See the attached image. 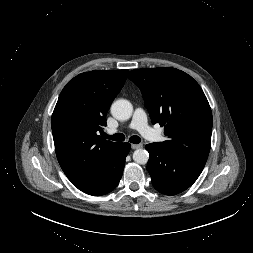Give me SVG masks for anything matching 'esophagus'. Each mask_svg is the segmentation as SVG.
<instances>
[{"label": "esophagus", "mask_w": 253, "mask_h": 253, "mask_svg": "<svg viewBox=\"0 0 253 253\" xmlns=\"http://www.w3.org/2000/svg\"><path fill=\"white\" fill-rule=\"evenodd\" d=\"M132 149H139L142 148V144H131Z\"/></svg>", "instance_id": "34e87169"}]
</instances>
